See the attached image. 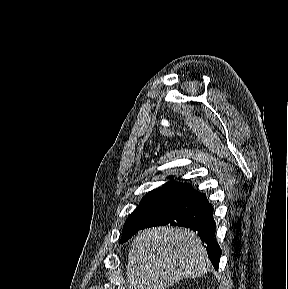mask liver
I'll return each instance as SVG.
<instances>
[{"label":"liver","instance_id":"obj_1","mask_svg":"<svg viewBox=\"0 0 288 289\" xmlns=\"http://www.w3.org/2000/svg\"><path fill=\"white\" fill-rule=\"evenodd\" d=\"M209 269L206 249L195 232L162 226L136 235L129 250L126 278L129 289H168Z\"/></svg>","mask_w":288,"mask_h":289}]
</instances>
